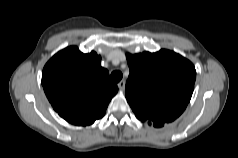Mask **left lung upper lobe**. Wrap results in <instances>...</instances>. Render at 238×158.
Here are the masks:
<instances>
[{
	"instance_id": "1",
	"label": "left lung upper lobe",
	"mask_w": 238,
	"mask_h": 158,
	"mask_svg": "<svg viewBox=\"0 0 238 158\" xmlns=\"http://www.w3.org/2000/svg\"><path fill=\"white\" fill-rule=\"evenodd\" d=\"M126 56L130 69L126 98L136 117L149 122H171L179 117L194 90V65L165 49Z\"/></svg>"
}]
</instances>
